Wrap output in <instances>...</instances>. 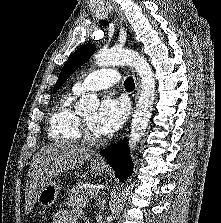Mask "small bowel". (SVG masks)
Returning a JSON list of instances; mask_svg holds the SVG:
<instances>
[{"mask_svg":"<svg viewBox=\"0 0 221 223\" xmlns=\"http://www.w3.org/2000/svg\"><path fill=\"white\" fill-rule=\"evenodd\" d=\"M81 218L82 215L78 211L61 210L53 216L51 223H75Z\"/></svg>","mask_w":221,"mask_h":223,"instance_id":"obj_1","label":"small bowel"}]
</instances>
